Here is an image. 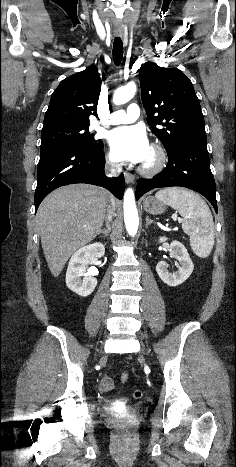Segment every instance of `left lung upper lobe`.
I'll return each instance as SVG.
<instances>
[{"label":"left lung upper lobe","mask_w":236,"mask_h":467,"mask_svg":"<svg viewBox=\"0 0 236 467\" xmlns=\"http://www.w3.org/2000/svg\"><path fill=\"white\" fill-rule=\"evenodd\" d=\"M139 72L147 122L167 153L185 139L206 137L199 100L182 71L147 62Z\"/></svg>","instance_id":"obj_1"}]
</instances>
